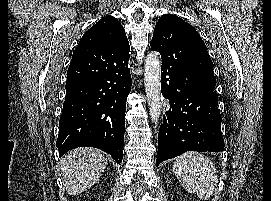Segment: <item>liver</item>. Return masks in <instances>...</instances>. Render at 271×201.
<instances>
[{
    "instance_id": "liver-1",
    "label": "liver",
    "mask_w": 271,
    "mask_h": 201,
    "mask_svg": "<svg viewBox=\"0 0 271 201\" xmlns=\"http://www.w3.org/2000/svg\"><path fill=\"white\" fill-rule=\"evenodd\" d=\"M107 155L99 149L77 148L61 162L62 178L69 195L80 194L93 186L107 166Z\"/></svg>"
}]
</instances>
